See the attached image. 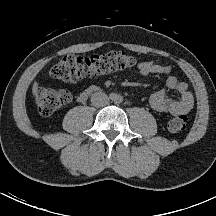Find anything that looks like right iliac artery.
Masks as SVG:
<instances>
[{"label": "right iliac artery", "instance_id": "right-iliac-artery-1", "mask_svg": "<svg viewBox=\"0 0 216 216\" xmlns=\"http://www.w3.org/2000/svg\"><path fill=\"white\" fill-rule=\"evenodd\" d=\"M110 97H111V98H114V94H110Z\"/></svg>", "mask_w": 216, "mask_h": 216}]
</instances>
